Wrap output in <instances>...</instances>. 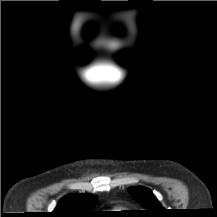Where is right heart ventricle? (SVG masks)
Wrapping results in <instances>:
<instances>
[{"instance_id": "right-heart-ventricle-1", "label": "right heart ventricle", "mask_w": 217, "mask_h": 217, "mask_svg": "<svg viewBox=\"0 0 217 217\" xmlns=\"http://www.w3.org/2000/svg\"><path fill=\"white\" fill-rule=\"evenodd\" d=\"M114 210H116L115 212H119V210H121V208L120 207H115Z\"/></svg>"}]
</instances>
